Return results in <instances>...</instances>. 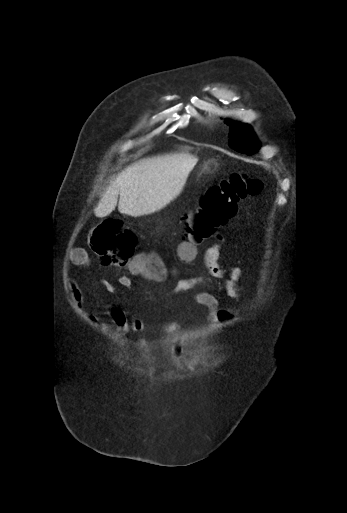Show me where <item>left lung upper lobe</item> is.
I'll list each match as a JSON object with an SVG mask.
<instances>
[{"instance_id": "1", "label": "left lung upper lobe", "mask_w": 347, "mask_h": 513, "mask_svg": "<svg viewBox=\"0 0 347 513\" xmlns=\"http://www.w3.org/2000/svg\"><path fill=\"white\" fill-rule=\"evenodd\" d=\"M226 123L231 127L229 133V144L236 151L252 155L253 152L258 150L259 143L257 142L250 126L230 123L228 121H226Z\"/></svg>"}]
</instances>
